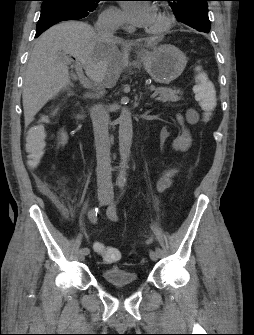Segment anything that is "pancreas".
I'll use <instances>...</instances> for the list:
<instances>
[{"instance_id":"1","label":"pancreas","mask_w":254,"mask_h":335,"mask_svg":"<svg viewBox=\"0 0 254 335\" xmlns=\"http://www.w3.org/2000/svg\"><path fill=\"white\" fill-rule=\"evenodd\" d=\"M159 96L156 98L157 101L163 103L177 102L181 99L182 91L180 89H172L168 87H158L155 89Z\"/></svg>"}]
</instances>
